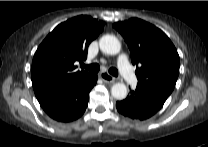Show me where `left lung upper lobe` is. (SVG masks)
<instances>
[{"label":"left lung upper lobe","mask_w":208,"mask_h":147,"mask_svg":"<svg viewBox=\"0 0 208 147\" xmlns=\"http://www.w3.org/2000/svg\"><path fill=\"white\" fill-rule=\"evenodd\" d=\"M113 27L128 44L138 85L169 96L178 78L180 58L167 35L138 18L117 22Z\"/></svg>","instance_id":"5c2ea615"}]
</instances>
